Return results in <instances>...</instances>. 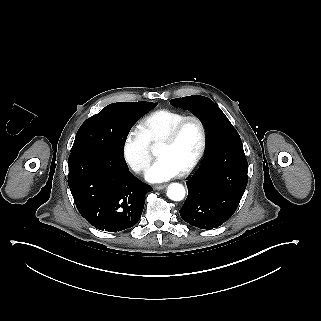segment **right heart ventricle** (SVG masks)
Here are the masks:
<instances>
[{"label":"right heart ventricle","instance_id":"e07e8e85","mask_svg":"<svg viewBox=\"0 0 321 321\" xmlns=\"http://www.w3.org/2000/svg\"><path fill=\"white\" fill-rule=\"evenodd\" d=\"M186 116L187 114L184 112L158 109L148 114L141 121V128L147 139L160 138Z\"/></svg>","mask_w":321,"mask_h":321}]
</instances>
